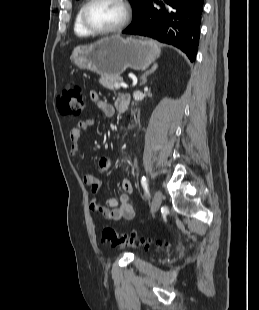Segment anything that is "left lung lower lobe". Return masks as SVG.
Segmentation results:
<instances>
[{"label":"left lung lower lobe","mask_w":259,"mask_h":310,"mask_svg":"<svg viewBox=\"0 0 259 310\" xmlns=\"http://www.w3.org/2000/svg\"><path fill=\"white\" fill-rule=\"evenodd\" d=\"M202 7L203 0H146L137 18L123 33L172 44L193 62L199 44Z\"/></svg>","instance_id":"obj_1"}]
</instances>
